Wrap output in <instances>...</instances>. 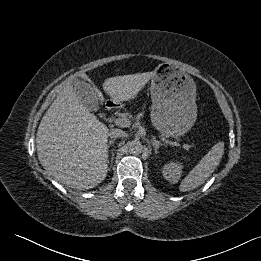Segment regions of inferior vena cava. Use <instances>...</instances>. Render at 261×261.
I'll use <instances>...</instances> for the list:
<instances>
[{
	"label": "inferior vena cava",
	"mask_w": 261,
	"mask_h": 261,
	"mask_svg": "<svg viewBox=\"0 0 261 261\" xmlns=\"http://www.w3.org/2000/svg\"><path fill=\"white\" fill-rule=\"evenodd\" d=\"M127 134L124 131L118 130V129H112L109 132V136L111 138H117V137H125Z\"/></svg>",
	"instance_id": "602c4592"
}]
</instances>
